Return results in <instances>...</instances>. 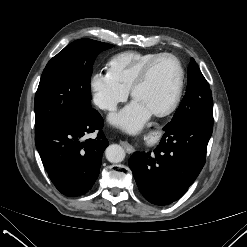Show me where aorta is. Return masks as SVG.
Returning <instances> with one entry per match:
<instances>
[{"instance_id":"1","label":"aorta","mask_w":247,"mask_h":247,"mask_svg":"<svg viewBox=\"0 0 247 247\" xmlns=\"http://www.w3.org/2000/svg\"><path fill=\"white\" fill-rule=\"evenodd\" d=\"M106 158L111 163L122 162L125 158L124 149L118 144H112L105 150Z\"/></svg>"}]
</instances>
